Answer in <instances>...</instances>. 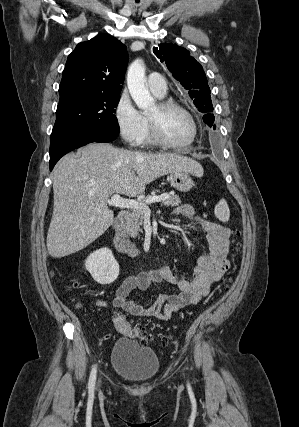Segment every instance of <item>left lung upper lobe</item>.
I'll list each match as a JSON object with an SVG mask.
<instances>
[{
    "instance_id": "obj_1",
    "label": "left lung upper lobe",
    "mask_w": 299,
    "mask_h": 427,
    "mask_svg": "<svg viewBox=\"0 0 299 427\" xmlns=\"http://www.w3.org/2000/svg\"><path fill=\"white\" fill-rule=\"evenodd\" d=\"M161 62H165L173 77L189 90L195 106L203 115V121L215 129L211 91L203 67L188 50L178 45L160 44L156 53Z\"/></svg>"
}]
</instances>
